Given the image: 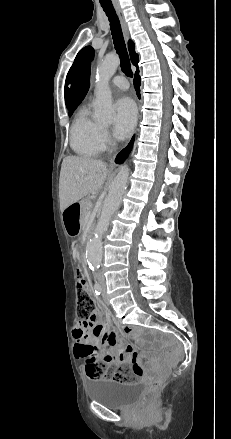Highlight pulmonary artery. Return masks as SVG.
Masks as SVG:
<instances>
[{"label":"pulmonary artery","instance_id":"e3ab8cb5","mask_svg":"<svg viewBox=\"0 0 231 439\" xmlns=\"http://www.w3.org/2000/svg\"><path fill=\"white\" fill-rule=\"evenodd\" d=\"M111 85L121 90H126L128 88V82L123 76L113 77L111 80Z\"/></svg>","mask_w":231,"mask_h":439}]
</instances>
